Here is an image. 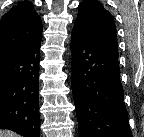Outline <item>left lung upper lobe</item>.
<instances>
[{"instance_id":"5c2ea615","label":"left lung upper lobe","mask_w":144,"mask_h":137,"mask_svg":"<svg viewBox=\"0 0 144 137\" xmlns=\"http://www.w3.org/2000/svg\"><path fill=\"white\" fill-rule=\"evenodd\" d=\"M98 43L117 48L116 25L113 16L98 0H84L74 24Z\"/></svg>"}]
</instances>
